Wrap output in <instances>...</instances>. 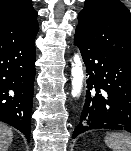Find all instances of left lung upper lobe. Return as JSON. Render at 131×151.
Returning <instances> with one entry per match:
<instances>
[{
	"instance_id": "5c2ea615",
	"label": "left lung upper lobe",
	"mask_w": 131,
	"mask_h": 151,
	"mask_svg": "<svg viewBox=\"0 0 131 151\" xmlns=\"http://www.w3.org/2000/svg\"><path fill=\"white\" fill-rule=\"evenodd\" d=\"M75 34L131 61V14L120 0H85Z\"/></svg>"
}]
</instances>
